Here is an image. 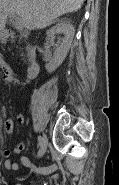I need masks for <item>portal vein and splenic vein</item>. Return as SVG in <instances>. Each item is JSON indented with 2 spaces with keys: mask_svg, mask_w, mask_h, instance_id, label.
<instances>
[{
  "mask_svg": "<svg viewBox=\"0 0 119 185\" xmlns=\"http://www.w3.org/2000/svg\"><path fill=\"white\" fill-rule=\"evenodd\" d=\"M6 16H9L10 18L15 20V26L17 29L22 30L24 27V24L21 20H18L16 16L13 13H7Z\"/></svg>",
  "mask_w": 119,
  "mask_h": 185,
  "instance_id": "portal-vein-and-splenic-vein-1",
  "label": "portal vein and splenic vein"
}]
</instances>
